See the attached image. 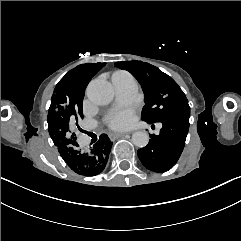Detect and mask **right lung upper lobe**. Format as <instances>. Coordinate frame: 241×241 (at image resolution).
Segmentation results:
<instances>
[{
	"label": "right lung upper lobe",
	"mask_w": 241,
	"mask_h": 241,
	"mask_svg": "<svg viewBox=\"0 0 241 241\" xmlns=\"http://www.w3.org/2000/svg\"><path fill=\"white\" fill-rule=\"evenodd\" d=\"M48 131L55 146L65 145V138L56 123L48 119Z\"/></svg>",
	"instance_id": "right-lung-upper-lobe-1"
}]
</instances>
